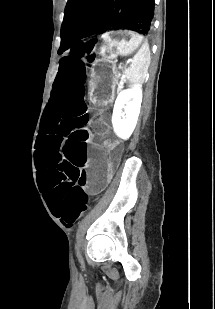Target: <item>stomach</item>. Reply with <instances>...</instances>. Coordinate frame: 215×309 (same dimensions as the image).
<instances>
[{
	"label": "stomach",
	"instance_id": "obj_1",
	"mask_svg": "<svg viewBox=\"0 0 215 309\" xmlns=\"http://www.w3.org/2000/svg\"><path fill=\"white\" fill-rule=\"evenodd\" d=\"M99 48L101 58L95 61L88 79L90 96L96 101L108 100L117 82V57L137 51L143 37L128 29L109 31L102 35Z\"/></svg>",
	"mask_w": 215,
	"mask_h": 309
}]
</instances>
